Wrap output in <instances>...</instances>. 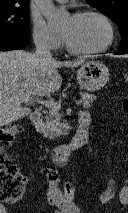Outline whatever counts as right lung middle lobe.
<instances>
[{
	"label": "right lung middle lobe",
	"mask_w": 128,
	"mask_h": 213,
	"mask_svg": "<svg viewBox=\"0 0 128 213\" xmlns=\"http://www.w3.org/2000/svg\"><path fill=\"white\" fill-rule=\"evenodd\" d=\"M29 5L0 6V37L29 39Z\"/></svg>",
	"instance_id": "1"
}]
</instances>
